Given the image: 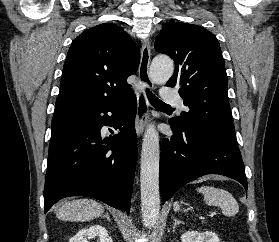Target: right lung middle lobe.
Wrapping results in <instances>:
<instances>
[{
  "label": "right lung middle lobe",
  "instance_id": "obj_1",
  "mask_svg": "<svg viewBox=\"0 0 279 242\" xmlns=\"http://www.w3.org/2000/svg\"><path fill=\"white\" fill-rule=\"evenodd\" d=\"M71 115L57 117L52 119V131L62 126L65 122L69 120Z\"/></svg>",
  "mask_w": 279,
  "mask_h": 242
}]
</instances>
